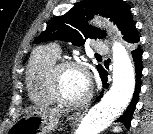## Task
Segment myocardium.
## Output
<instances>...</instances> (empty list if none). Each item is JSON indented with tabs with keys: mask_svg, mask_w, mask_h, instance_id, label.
<instances>
[{
	"mask_svg": "<svg viewBox=\"0 0 153 134\" xmlns=\"http://www.w3.org/2000/svg\"><path fill=\"white\" fill-rule=\"evenodd\" d=\"M68 68H75V69L81 70L88 78V81H89L88 94L80 100H76V101L68 100L61 93L60 77H61L62 72ZM47 83H48L49 92L51 96L53 97V99L57 103L67 106V107L82 106L86 104L92 96V83H91L89 70L83 63L79 61L69 60V59L58 60L56 63H54L50 67L48 71Z\"/></svg>",
	"mask_w": 153,
	"mask_h": 134,
	"instance_id": "obj_1",
	"label": "myocardium"
}]
</instances>
